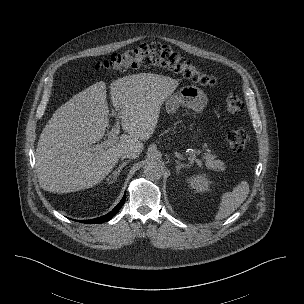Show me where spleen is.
<instances>
[{
	"mask_svg": "<svg viewBox=\"0 0 304 304\" xmlns=\"http://www.w3.org/2000/svg\"><path fill=\"white\" fill-rule=\"evenodd\" d=\"M248 194L249 184L246 181H242L238 184L232 192L224 193L215 219L222 220L227 218L245 201Z\"/></svg>",
	"mask_w": 304,
	"mask_h": 304,
	"instance_id": "1",
	"label": "spleen"
}]
</instances>
